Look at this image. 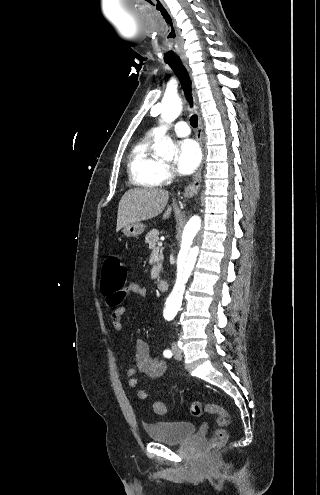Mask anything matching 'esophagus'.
<instances>
[{"instance_id": "34e87169", "label": "esophagus", "mask_w": 320, "mask_h": 495, "mask_svg": "<svg viewBox=\"0 0 320 495\" xmlns=\"http://www.w3.org/2000/svg\"><path fill=\"white\" fill-rule=\"evenodd\" d=\"M183 63L185 65V67L187 68L189 74L191 75V71H190V68H189V66L187 64V61L186 60H183ZM193 98H194V103H195V112L198 115V127H197L196 135H197V139L199 141V144L201 146V149L204 152V144H203L204 143L203 142V122H202V116H201V112H200V109H199V104H198L196 90L194 88V85H193ZM201 180H202V175H201V168H200V170L195 174V176L193 178V181L185 188L184 195L186 197H192V196H194L198 192V190H199V187H200V184H201Z\"/></svg>"}]
</instances>
